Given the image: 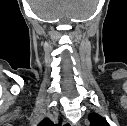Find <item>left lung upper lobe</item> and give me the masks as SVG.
<instances>
[{"instance_id": "5c2ea615", "label": "left lung upper lobe", "mask_w": 127, "mask_h": 126, "mask_svg": "<svg viewBox=\"0 0 127 126\" xmlns=\"http://www.w3.org/2000/svg\"><path fill=\"white\" fill-rule=\"evenodd\" d=\"M91 126H110L108 122L99 114L92 113L89 115Z\"/></svg>"}]
</instances>
